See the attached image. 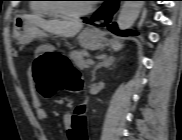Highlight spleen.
Returning a JSON list of instances; mask_svg holds the SVG:
<instances>
[{"label": "spleen", "mask_w": 182, "mask_h": 140, "mask_svg": "<svg viewBox=\"0 0 182 140\" xmlns=\"http://www.w3.org/2000/svg\"><path fill=\"white\" fill-rule=\"evenodd\" d=\"M112 46H113V49H114L115 51H118V50H120V49L122 48V44H120V43H118V42H113V43H112Z\"/></svg>", "instance_id": "obj_1"}]
</instances>
